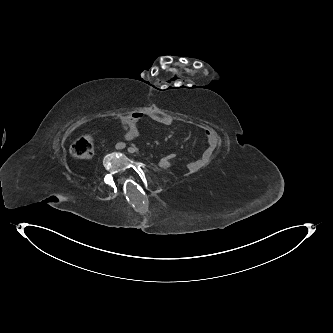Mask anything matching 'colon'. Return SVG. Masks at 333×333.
Listing matches in <instances>:
<instances>
[{"label": "colon", "mask_w": 333, "mask_h": 333, "mask_svg": "<svg viewBox=\"0 0 333 333\" xmlns=\"http://www.w3.org/2000/svg\"><path fill=\"white\" fill-rule=\"evenodd\" d=\"M71 154L76 159H88L93 154V135L86 134L78 138L71 146ZM175 157L174 153H170L159 159L160 163L169 161Z\"/></svg>", "instance_id": "colon-1"}]
</instances>
